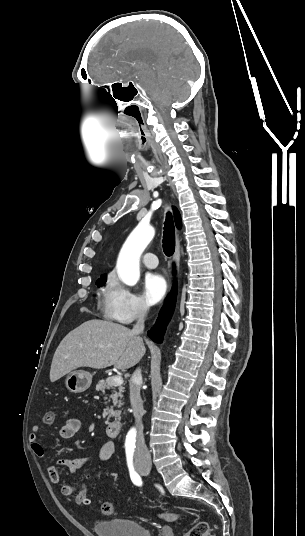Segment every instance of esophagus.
Wrapping results in <instances>:
<instances>
[{
	"instance_id": "34e87169",
	"label": "esophagus",
	"mask_w": 305,
	"mask_h": 536,
	"mask_svg": "<svg viewBox=\"0 0 305 536\" xmlns=\"http://www.w3.org/2000/svg\"><path fill=\"white\" fill-rule=\"evenodd\" d=\"M173 259H174V262H176V265L178 267L179 266V261H180V238H179V236H177L176 248H175V253H174Z\"/></svg>"
}]
</instances>
